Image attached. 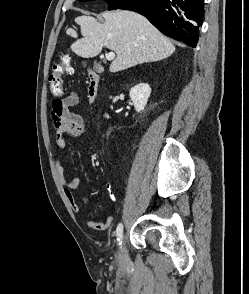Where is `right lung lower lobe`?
I'll return each mask as SVG.
<instances>
[{
    "instance_id": "1",
    "label": "right lung lower lobe",
    "mask_w": 249,
    "mask_h": 294,
    "mask_svg": "<svg viewBox=\"0 0 249 294\" xmlns=\"http://www.w3.org/2000/svg\"><path fill=\"white\" fill-rule=\"evenodd\" d=\"M119 9L138 12L163 34L196 47L204 0H125Z\"/></svg>"
}]
</instances>
